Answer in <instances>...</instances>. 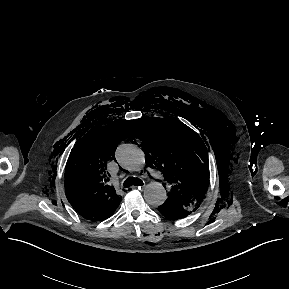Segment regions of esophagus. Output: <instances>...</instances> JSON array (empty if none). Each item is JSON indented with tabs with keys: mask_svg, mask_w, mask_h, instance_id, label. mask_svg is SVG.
I'll list each match as a JSON object with an SVG mask.
<instances>
[{
	"mask_svg": "<svg viewBox=\"0 0 289 289\" xmlns=\"http://www.w3.org/2000/svg\"><path fill=\"white\" fill-rule=\"evenodd\" d=\"M144 187H145V185H141V186H138V187H137V186H134L133 189H134V188H138L139 190H141V189H144Z\"/></svg>",
	"mask_w": 289,
	"mask_h": 289,
	"instance_id": "obj_1",
	"label": "esophagus"
}]
</instances>
